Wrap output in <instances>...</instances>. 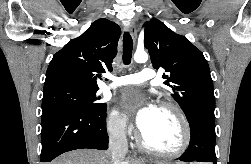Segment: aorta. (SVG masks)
I'll use <instances>...</instances> for the list:
<instances>
[{
	"label": "aorta",
	"instance_id": "obj_1",
	"mask_svg": "<svg viewBox=\"0 0 251 164\" xmlns=\"http://www.w3.org/2000/svg\"><path fill=\"white\" fill-rule=\"evenodd\" d=\"M148 60V54L145 51H137L134 54V61L137 63H145Z\"/></svg>",
	"mask_w": 251,
	"mask_h": 164
}]
</instances>
